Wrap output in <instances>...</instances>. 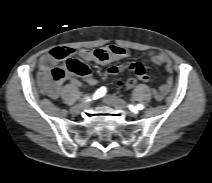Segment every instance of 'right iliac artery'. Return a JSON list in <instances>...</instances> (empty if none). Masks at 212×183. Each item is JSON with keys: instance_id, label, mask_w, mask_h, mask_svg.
<instances>
[{"instance_id": "1", "label": "right iliac artery", "mask_w": 212, "mask_h": 183, "mask_svg": "<svg viewBox=\"0 0 212 183\" xmlns=\"http://www.w3.org/2000/svg\"><path fill=\"white\" fill-rule=\"evenodd\" d=\"M106 92H107V90H106L105 87L99 88V89L94 93V95H93V100L98 99V98L104 96V95L106 94ZM85 99H86V100H85L86 102L91 101V98H90V97H86Z\"/></svg>"}]
</instances>
